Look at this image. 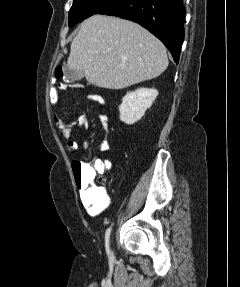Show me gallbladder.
<instances>
[{"mask_svg": "<svg viewBox=\"0 0 240 287\" xmlns=\"http://www.w3.org/2000/svg\"><path fill=\"white\" fill-rule=\"evenodd\" d=\"M64 74L65 78L72 82L81 80L84 77L83 71L70 69L68 67H65Z\"/></svg>", "mask_w": 240, "mask_h": 287, "instance_id": "gallbladder-1", "label": "gallbladder"}]
</instances>
